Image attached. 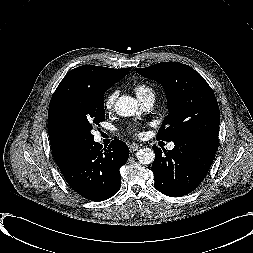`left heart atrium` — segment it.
Here are the masks:
<instances>
[{
  "label": "left heart atrium",
  "instance_id": "1",
  "mask_svg": "<svg viewBox=\"0 0 253 253\" xmlns=\"http://www.w3.org/2000/svg\"><path fill=\"white\" fill-rule=\"evenodd\" d=\"M130 132L137 137H141L143 135V133L141 132L138 126H132L130 128Z\"/></svg>",
  "mask_w": 253,
  "mask_h": 253
}]
</instances>
